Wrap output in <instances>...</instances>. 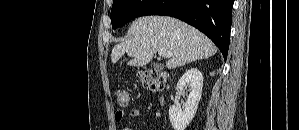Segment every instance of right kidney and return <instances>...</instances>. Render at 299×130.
Wrapping results in <instances>:
<instances>
[{"instance_id": "obj_1", "label": "right kidney", "mask_w": 299, "mask_h": 130, "mask_svg": "<svg viewBox=\"0 0 299 130\" xmlns=\"http://www.w3.org/2000/svg\"><path fill=\"white\" fill-rule=\"evenodd\" d=\"M189 86V95L182 110L178 105L169 108V119L175 130H185L194 118L202 94L203 75L197 68L187 70L177 83V91L183 92Z\"/></svg>"}]
</instances>
